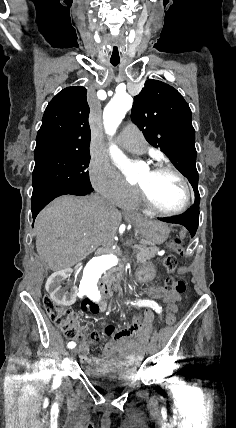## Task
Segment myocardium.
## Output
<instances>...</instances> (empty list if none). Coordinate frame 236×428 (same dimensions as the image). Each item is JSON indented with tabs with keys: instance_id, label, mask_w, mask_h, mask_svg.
Segmentation results:
<instances>
[{
	"instance_id": "obj_1",
	"label": "myocardium",
	"mask_w": 236,
	"mask_h": 428,
	"mask_svg": "<svg viewBox=\"0 0 236 428\" xmlns=\"http://www.w3.org/2000/svg\"><path fill=\"white\" fill-rule=\"evenodd\" d=\"M168 172L175 175L183 184L185 190V199L181 206L175 209H164L159 206L155 200L150 195L147 187L144 184H136L137 192L139 196V200L142 204H144L149 209L166 216H172L180 214L186 211L190 205L192 200V191L188 178L174 165L170 163H158L149 168V173L151 175H156L159 173Z\"/></svg>"
}]
</instances>
